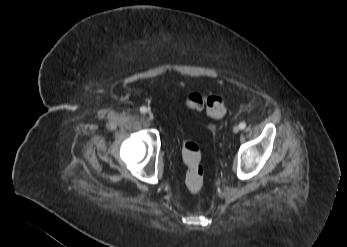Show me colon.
I'll return each mask as SVG.
<instances>
[{
    "label": "colon",
    "instance_id": "5ec220e1",
    "mask_svg": "<svg viewBox=\"0 0 347 247\" xmlns=\"http://www.w3.org/2000/svg\"><path fill=\"white\" fill-rule=\"evenodd\" d=\"M187 106L193 110L205 109L213 118H220L226 112V104L217 95L202 96L190 93L186 100ZM182 157L187 167L185 176L186 189L191 194H198L203 188L204 170L201 163V151L198 145L190 139L182 142Z\"/></svg>",
    "mask_w": 347,
    "mask_h": 247
}]
</instances>
